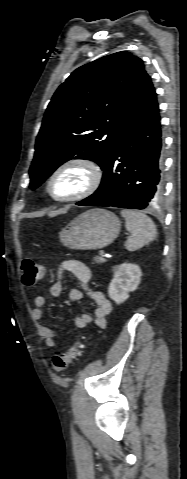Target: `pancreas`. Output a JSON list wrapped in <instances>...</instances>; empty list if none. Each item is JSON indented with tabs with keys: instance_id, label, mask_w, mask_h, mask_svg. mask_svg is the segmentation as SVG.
Masks as SVG:
<instances>
[{
	"instance_id": "1",
	"label": "pancreas",
	"mask_w": 187,
	"mask_h": 479,
	"mask_svg": "<svg viewBox=\"0 0 187 479\" xmlns=\"http://www.w3.org/2000/svg\"><path fill=\"white\" fill-rule=\"evenodd\" d=\"M105 262H106L105 258H102V257H99V256L94 257V262L93 263L102 264V263H105Z\"/></svg>"
}]
</instances>
